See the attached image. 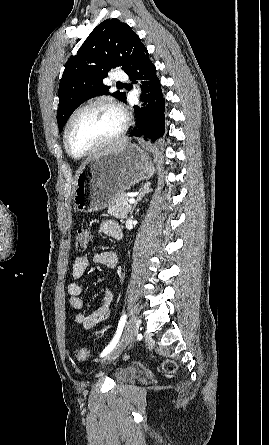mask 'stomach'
Returning <instances> with one entry per match:
<instances>
[{
	"label": "stomach",
	"mask_w": 269,
	"mask_h": 445,
	"mask_svg": "<svg viewBox=\"0 0 269 445\" xmlns=\"http://www.w3.org/2000/svg\"><path fill=\"white\" fill-rule=\"evenodd\" d=\"M150 153L153 154V161ZM157 161V153L136 144H127L114 152L93 157L76 175L75 209L84 213L105 209L131 186L150 178Z\"/></svg>",
	"instance_id": "1"
}]
</instances>
